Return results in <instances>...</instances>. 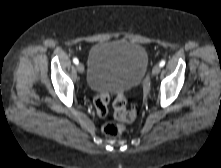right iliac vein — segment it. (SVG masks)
I'll return each instance as SVG.
<instances>
[{
	"label": "right iliac vein",
	"instance_id": "1",
	"mask_svg": "<svg viewBox=\"0 0 221 168\" xmlns=\"http://www.w3.org/2000/svg\"><path fill=\"white\" fill-rule=\"evenodd\" d=\"M77 70L79 73H83L84 72V65L82 63H78Z\"/></svg>",
	"mask_w": 221,
	"mask_h": 168
}]
</instances>
